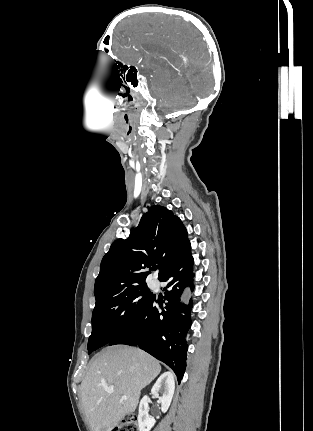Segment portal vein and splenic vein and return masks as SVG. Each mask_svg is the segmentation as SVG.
I'll use <instances>...</instances> for the list:
<instances>
[{"mask_svg":"<svg viewBox=\"0 0 313 431\" xmlns=\"http://www.w3.org/2000/svg\"><path fill=\"white\" fill-rule=\"evenodd\" d=\"M104 390H105L108 394H112V393L114 392V390H113V388H112V387L104 386ZM122 399H127V397H126V396H122Z\"/></svg>","mask_w":313,"mask_h":431,"instance_id":"obj_1","label":"portal vein and splenic vein"}]
</instances>
